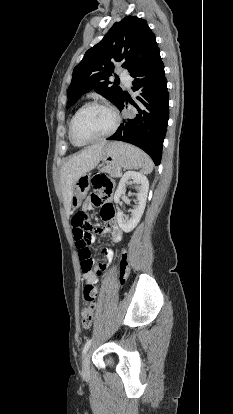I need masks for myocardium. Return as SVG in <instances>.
Masks as SVG:
<instances>
[{
	"instance_id": "1",
	"label": "myocardium",
	"mask_w": 233,
	"mask_h": 414,
	"mask_svg": "<svg viewBox=\"0 0 233 414\" xmlns=\"http://www.w3.org/2000/svg\"><path fill=\"white\" fill-rule=\"evenodd\" d=\"M90 108H101V109L107 110L112 115V117H113L112 126H111V128L106 133H104V134H102V135H100L98 137H95V138L89 139V140H84V141L77 140L76 137H75V135H74V126H75V123H76L78 117L84 111H86L87 109H90ZM120 121H121L120 115H119L118 111L114 107H112V106H110L108 104H105V103H101V102H96V101L89 102V103L83 105L81 108H79L76 111V113L74 114V116L72 117L71 122H70V125H69V137H70V140L74 144L79 145V146L88 145V144H92V143H95V142L102 141L104 139L109 138L110 136H112L117 131V129H118L119 125H120Z\"/></svg>"
}]
</instances>
